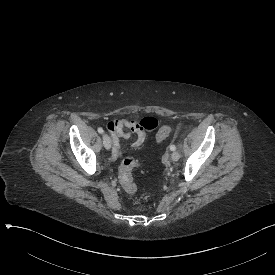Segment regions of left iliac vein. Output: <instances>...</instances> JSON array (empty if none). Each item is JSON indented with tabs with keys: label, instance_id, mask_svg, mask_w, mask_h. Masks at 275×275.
Returning a JSON list of instances; mask_svg holds the SVG:
<instances>
[{
	"label": "left iliac vein",
	"instance_id": "4c4485c4",
	"mask_svg": "<svg viewBox=\"0 0 275 275\" xmlns=\"http://www.w3.org/2000/svg\"><path fill=\"white\" fill-rule=\"evenodd\" d=\"M180 158L179 152L178 151H173L171 154V159L172 161L176 162L178 161Z\"/></svg>",
	"mask_w": 275,
	"mask_h": 275
}]
</instances>
